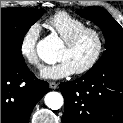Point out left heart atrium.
<instances>
[{
	"label": "left heart atrium",
	"mask_w": 123,
	"mask_h": 123,
	"mask_svg": "<svg viewBox=\"0 0 123 123\" xmlns=\"http://www.w3.org/2000/svg\"><path fill=\"white\" fill-rule=\"evenodd\" d=\"M75 72L73 66L66 60H60L53 65L46 66L41 71V77L45 79H61L72 75Z\"/></svg>",
	"instance_id": "1"
}]
</instances>
